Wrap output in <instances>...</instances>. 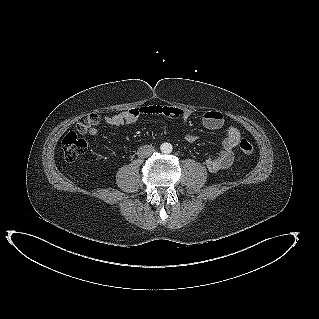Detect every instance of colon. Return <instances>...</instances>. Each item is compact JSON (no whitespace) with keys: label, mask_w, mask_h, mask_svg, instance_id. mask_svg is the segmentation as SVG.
I'll return each mask as SVG.
<instances>
[{"label":"colon","mask_w":319,"mask_h":319,"mask_svg":"<svg viewBox=\"0 0 319 319\" xmlns=\"http://www.w3.org/2000/svg\"><path fill=\"white\" fill-rule=\"evenodd\" d=\"M93 119L92 115H86L83 118H81L78 123H88ZM240 149L244 154L250 155L254 151L253 144L243 139L240 141ZM87 147V143L84 139L78 137V135L75 132H68L63 140H62V149L64 158L66 161L73 162L75 161L79 156H81Z\"/></svg>","instance_id":"1"}]
</instances>
